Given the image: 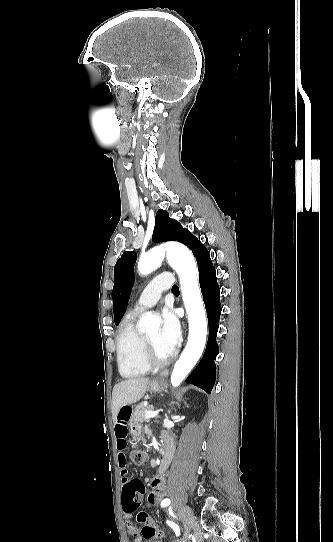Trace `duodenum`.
Here are the masks:
<instances>
[{
  "instance_id": "1",
  "label": "duodenum",
  "mask_w": 333,
  "mask_h": 542,
  "mask_svg": "<svg viewBox=\"0 0 333 542\" xmlns=\"http://www.w3.org/2000/svg\"><path fill=\"white\" fill-rule=\"evenodd\" d=\"M162 440H163V452H162V458L157 470L159 475H163L166 472L174 453V445H173L172 438L169 435H164Z\"/></svg>"
}]
</instances>
